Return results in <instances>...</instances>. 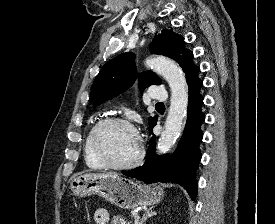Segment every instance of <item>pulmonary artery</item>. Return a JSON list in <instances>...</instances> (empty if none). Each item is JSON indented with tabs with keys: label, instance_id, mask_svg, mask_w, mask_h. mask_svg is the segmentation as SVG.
I'll return each mask as SVG.
<instances>
[{
	"label": "pulmonary artery",
	"instance_id": "pulmonary-artery-1",
	"mask_svg": "<svg viewBox=\"0 0 275 224\" xmlns=\"http://www.w3.org/2000/svg\"><path fill=\"white\" fill-rule=\"evenodd\" d=\"M150 97L154 101L162 102L167 100L168 95L164 88L155 86L150 89Z\"/></svg>",
	"mask_w": 275,
	"mask_h": 224
}]
</instances>
